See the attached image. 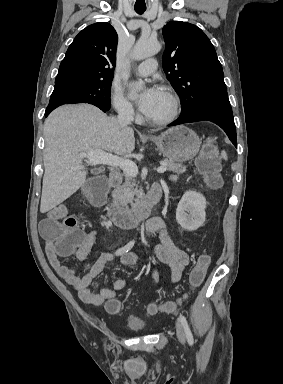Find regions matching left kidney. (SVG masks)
<instances>
[{
    "label": "left kidney",
    "instance_id": "left-kidney-1",
    "mask_svg": "<svg viewBox=\"0 0 283 384\" xmlns=\"http://www.w3.org/2000/svg\"><path fill=\"white\" fill-rule=\"evenodd\" d=\"M206 200L197 192H185L176 210V220L187 232L198 230L205 222Z\"/></svg>",
    "mask_w": 283,
    "mask_h": 384
}]
</instances>
